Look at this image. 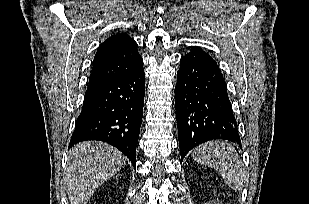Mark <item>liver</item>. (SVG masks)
I'll return each mask as SVG.
<instances>
[{"mask_svg":"<svg viewBox=\"0 0 309 204\" xmlns=\"http://www.w3.org/2000/svg\"><path fill=\"white\" fill-rule=\"evenodd\" d=\"M126 164L124 155L98 141L82 142L68 153L64 186L71 204H87L94 191Z\"/></svg>","mask_w":309,"mask_h":204,"instance_id":"6515ba94","label":"liver"}]
</instances>
